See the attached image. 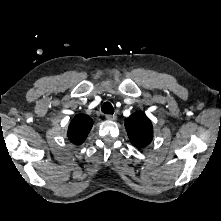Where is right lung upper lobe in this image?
<instances>
[{"label":"right lung upper lobe","instance_id":"right-lung-upper-lobe-1","mask_svg":"<svg viewBox=\"0 0 221 221\" xmlns=\"http://www.w3.org/2000/svg\"><path fill=\"white\" fill-rule=\"evenodd\" d=\"M93 125V120L85 115L78 114L71 121L68 128V138L69 140L75 144H82L87 138L88 133L90 132Z\"/></svg>","mask_w":221,"mask_h":221}]
</instances>
